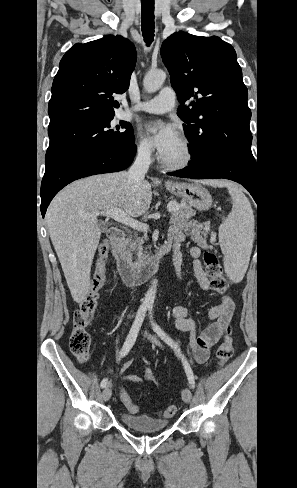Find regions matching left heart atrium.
Wrapping results in <instances>:
<instances>
[{
  "mask_svg": "<svg viewBox=\"0 0 297 488\" xmlns=\"http://www.w3.org/2000/svg\"><path fill=\"white\" fill-rule=\"evenodd\" d=\"M152 134V142L161 158H164L180 139L176 127L172 124L150 123L147 126Z\"/></svg>",
  "mask_w": 297,
  "mask_h": 488,
  "instance_id": "39dd6f15",
  "label": "left heart atrium"
}]
</instances>
